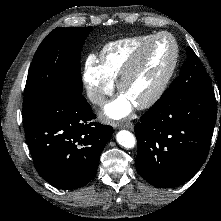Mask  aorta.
<instances>
[{"mask_svg":"<svg viewBox=\"0 0 221 221\" xmlns=\"http://www.w3.org/2000/svg\"><path fill=\"white\" fill-rule=\"evenodd\" d=\"M116 140L125 148H133L136 142L134 135L127 130L119 131L116 135Z\"/></svg>","mask_w":221,"mask_h":221,"instance_id":"obj_1","label":"aorta"}]
</instances>
